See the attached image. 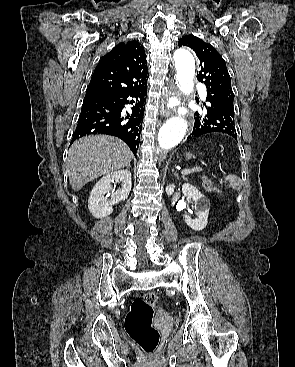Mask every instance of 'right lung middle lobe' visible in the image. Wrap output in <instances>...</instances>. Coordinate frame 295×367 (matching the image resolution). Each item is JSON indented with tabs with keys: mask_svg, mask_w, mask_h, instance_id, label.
Returning a JSON list of instances; mask_svg holds the SVG:
<instances>
[{
	"mask_svg": "<svg viewBox=\"0 0 295 367\" xmlns=\"http://www.w3.org/2000/svg\"><path fill=\"white\" fill-rule=\"evenodd\" d=\"M86 93H102V92H99V91H93V90H87V92Z\"/></svg>",
	"mask_w": 295,
	"mask_h": 367,
	"instance_id": "dd1d6c3e",
	"label": "right lung middle lobe"
}]
</instances>
